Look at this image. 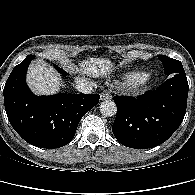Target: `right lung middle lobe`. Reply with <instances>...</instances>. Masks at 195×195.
<instances>
[{"mask_svg": "<svg viewBox=\"0 0 195 195\" xmlns=\"http://www.w3.org/2000/svg\"><path fill=\"white\" fill-rule=\"evenodd\" d=\"M54 67L60 72V74H62L63 76L68 75L67 72L63 71L61 68H59L57 65H54Z\"/></svg>", "mask_w": 195, "mask_h": 195, "instance_id": "dd1d6c3e", "label": "right lung middle lobe"}]
</instances>
